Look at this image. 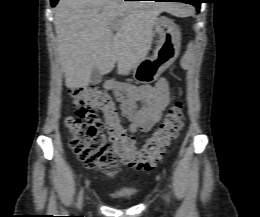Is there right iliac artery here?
<instances>
[{
    "label": "right iliac artery",
    "instance_id": "right-iliac-artery-1",
    "mask_svg": "<svg viewBox=\"0 0 260 217\" xmlns=\"http://www.w3.org/2000/svg\"><path fill=\"white\" fill-rule=\"evenodd\" d=\"M82 201H83V189H81V191L79 192V195H78L77 208H79V209L81 208Z\"/></svg>",
    "mask_w": 260,
    "mask_h": 217
}]
</instances>
